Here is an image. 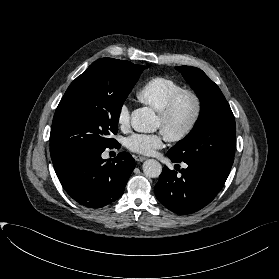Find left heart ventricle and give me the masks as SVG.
Returning <instances> with one entry per match:
<instances>
[{
	"instance_id": "obj_1",
	"label": "left heart ventricle",
	"mask_w": 279,
	"mask_h": 279,
	"mask_svg": "<svg viewBox=\"0 0 279 279\" xmlns=\"http://www.w3.org/2000/svg\"><path fill=\"white\" fill-rule=\"evenodd\" d=\"M194 112V103L189 97H181L177 102L171 120L164 124L159 118L157 126L164 134L178 132L190 121Z\"/></svg>"
}]
</instances>
